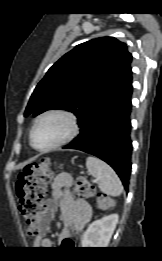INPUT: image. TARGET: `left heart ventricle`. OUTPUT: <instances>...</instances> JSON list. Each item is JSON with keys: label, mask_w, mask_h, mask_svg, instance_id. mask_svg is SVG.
<instances>
[{"label": "left heart ventricle", "mask_w": 162, "mask_h": 261, "mask_svg": "<svg viewBox=\"0 0 162 261\" xmlns=\"http://www.w3.org/2000/svg\"><path fill=\"white\" fill-rule=\"evenodd\" d=\"M68 129L65 119L51 116L43 119L36 127L33 135L35 146L43 148L59 140Z\"/></svg>", "instance_id": "b2bd125f"}]
</instances>
